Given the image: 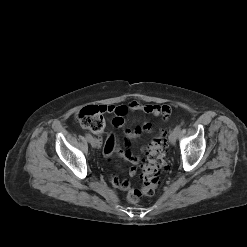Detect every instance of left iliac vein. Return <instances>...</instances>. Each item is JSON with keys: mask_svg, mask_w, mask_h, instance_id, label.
Instances as JSON below:
<instances>
[{"mask_svg": "<svg viewBox=\"0 0 247 247\" xmlns=\"http://www.w3.org/2000/svg\"><path fill=\"white\" fill-rule=\"evenodd\" d=\"M178 135H179V132H177L175 129L170 132L169 141H170L171 144L174 145L176 143Z\"/></svg>", "mask_w": 247, "mask_h": 247, "instance_id": "4c4485c4", "label": "left iliac vein"}]
</instances>
